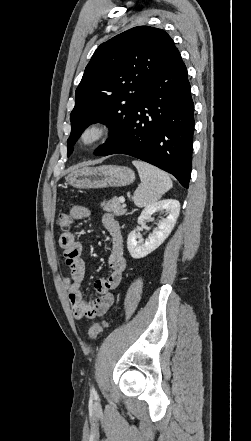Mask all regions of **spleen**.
Returning a JSON list of instances; mask_svg holds the SVG:
<instances>
[{
	"label": "spleen",
	"mask_w": 251,
	"mask_h": 441,
	"mask_svg": "<svg viewBox=\"0 0 251 441\" xmlns=\"http://www.w3.org/2000/svg\"><path fill=\"white\" fill-rule=\"evenodd\" d=\"M132 164L137 168L141 180L133 197L137 207H146L155 203L172 188L173 183L164 171L140 160H133Z\"/></svg>",
	"instance_id": "1"
}]
</instances>
